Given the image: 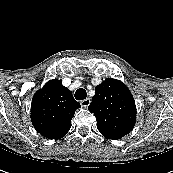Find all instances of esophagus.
I'll return each instance as SVG.
<instances>
[{
	"label": "esophagus",
	"mask_w": 173,
	"mask_h": 173,
	"mask_svg": "<svg viewBox=\"0 0 173 173\" xmlns=\"http://www.w3.org/2000/svg\"><path fill=\"white\" fill-rule=\"evenodd\" d=\"M90 102H91L90 98H86L82 100L80 104L82 107H88L90 105Z\"/></svg>",
	"instance_id": "esophagus-1"
}]
</instances>
